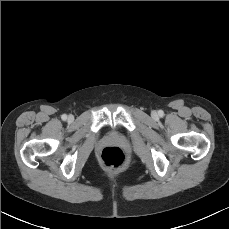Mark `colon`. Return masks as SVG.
Masks as SVG:
<instances>
[{"label": "colon", "instance_id": "1", "mask_svg": "<svg viewBox=\"0 0 229 229\" xmlns=\"http://www.w3.org/2000/svg\"><path fill=\"white\" fill-rule=\"evenodd\" d=\"M125 161V155L118 147H106L102 151L101 163L106 169H119Z\"/></svg>", "mask_w": 229, "mask_h": 229}]
</instances>
